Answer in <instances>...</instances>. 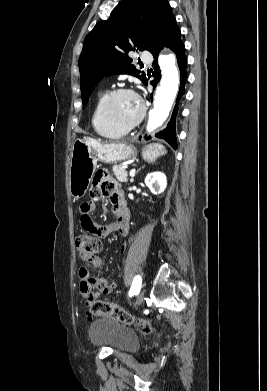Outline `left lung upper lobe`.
I'll list each match as a JSON object with an SVG mask.
<instances>
[{"instance_id": "obj_1", "label": "left lung upper lobe", "mask_w": 267, "mask_h": 391, "mask_svg": "<svg viewBox=\"0 0 267 391\" xmlns=\"http://www.w3.org/2000/svg\"><path fill=\"white\" fill-rule=\"evenodd\" d=\"M176 25L167 0H122L109 19L97 23L85 37L79 58L83 106L105 76L130 74L145 84V74L135 68L128 53L151 52Z\"/></svg>"}]
</instances>
